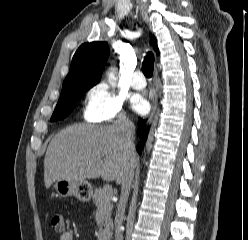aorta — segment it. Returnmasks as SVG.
Instances as JSON below:
<instances>
[{
	"label": "aorta",
	"instance_id": "1",
	"mask_svg": "<svg viewBox=\"0 0 248 240\" xmlns=\"http://www.w3.org/2000/svg\"><path fill=\"white\" fill-rule=\"evenodd\" d=\"M108 77H109V81H110V83H112V80L114 79V75H113V73H112V72H110V73L108 74Z\"/></svg>",
	"mask_w": 248,
	"mask_h": 240
}]
</instances>
